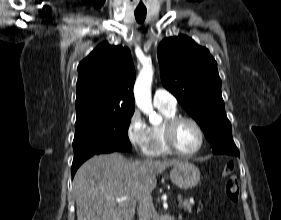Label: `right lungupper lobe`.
Returning <instances> with one entry per match:
<instances>
[{"instance_id":"obj_1","label":"right lung upper lobe","mask_w":281,"mask_h":220,"mask_svg":"<svg viewBox=\"0 0 281 220\" xmlns=\"http://www.w3.org/2000/svg\"><path fill=\"white\" fill-rule=\"evenodd\" d=\"M134 80L130 50L101 43L78 66L77 118L134 112Z\"/></svg>"}]
</instances>
